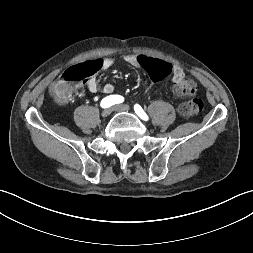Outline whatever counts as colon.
<instances>
[{
	"mask_svg": "<svg viewBox=\"0 0 253 253\" xmlns=\"http://www.w3.org/2000/svg\"><path fill=\"white\" fill-rule=\"evenodd\" d=\"M135 61L141 69L148 71L153 81H159L171 73V66L152 55L139 54ZM100 69L97 60L87 61L68 68L52 87V95L58 102L65 103L71 97L73 85L87 79ZM196 81L189 76L181 77L174 86V91L180 96L192 95L196 91ZM203 101L190 99L179 106V112L184 117H193L203 110Z\"/></svg>",
	"mask_w": 253,
	"mask_h": 253,
	"instance_id": "colon-1",
	"label": "colon"
}]
</instances>
